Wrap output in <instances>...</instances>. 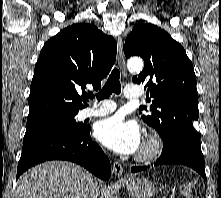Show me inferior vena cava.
<instances>
[{"mask_svg": "<svg viewBox=\"0 0 221 198\" xmlns=\"http://www.w3.org/2000/svg\"><path fill=\"white\" fill-rule=\"evenodd\" d=\"M99 187L94 179H90L87 186V198H97Z\"/></svg>", "mask_w": 221, "mask_h": 198, "instance_id": "602c4592", "label": "inferior vena cava"}]
</instances>
